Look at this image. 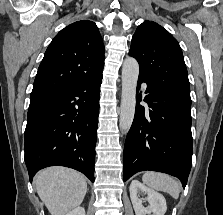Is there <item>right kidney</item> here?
Wrapping results in <instances>:
<instances>
[{"label": "right kidney", "mask_w": 223, "mask_h": 215, "mask_svg": "<svg viewBox=\"0 0 223 215\" xmlns=\"http://www.w3.org/2000/svg\"><path fill=\"white\" fill-rule=\"evenodd\" d=\"M66 215H85V209L84 207H80V205H78V207H74L72 211H68Z\"/></svg>", "instance_id": "right-kidney-1"}]
</instances>
